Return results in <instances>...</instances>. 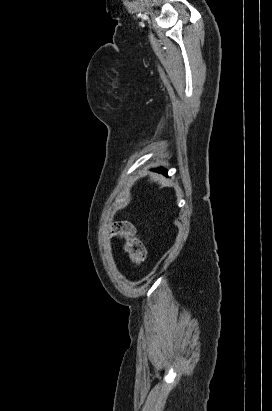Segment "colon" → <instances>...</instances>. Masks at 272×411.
Here are the masks:
<instances>
[{
	"instance_id": "colon-1",
	"label": "colon",
	"mask_w": 272,
	"mask_h": 411,
	"mask_svg": "<svg viewBox=\"0 0 272 411\" xmlns=\"http://www.w3.org/2000/svg\"><path fill=\"white\" fill-rule=\"evenodd\" d=\"M116 239L122 240L125 250L134 266H140L145 259V249L142 243L135 237L134 227L127 222H118L113 231Z\"/></svg>"
}]
</instances>
